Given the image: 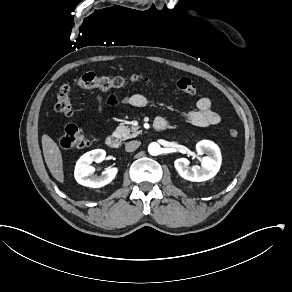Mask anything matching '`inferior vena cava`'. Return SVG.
Masks as SVG:
<instances>
[{"label":"inferior vena cava","mask_w":292,"mask_h":292,"mask_svg":"<svg viewBox=\"0 0 292 292\" xmlns=\"http://www.w3.org/2000/svg\"><path fill=\"white\" fill-rule=\"evenodd\" d=\"M141 145L140 141L134 140L126 143L125 145V151L132 152L136 150Z\"/></svg>","instance_id":"obj_1"}]
</instances>
